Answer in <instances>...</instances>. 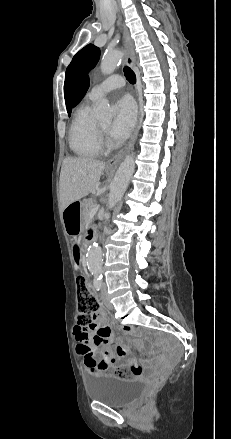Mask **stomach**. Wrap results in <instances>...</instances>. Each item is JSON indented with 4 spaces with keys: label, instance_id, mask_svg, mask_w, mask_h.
<instances>
[{
    "label": "stomach",
    "instance_id": "0dacf381",
    "mask_svg": "<svg viewBox=\"0 0 231 439\" xmlns=\"http://www.w3.org/2000/svg\"><path fill=\"white\" fill-rule=\"evenodd\" d=\"M68 207L64 209L63 213H65V211L68 209ZM63 223H64V229L66 230V232L69 235H76V234H78L79 230L82 227V223L79 221L78 218H75V217L74 218H69L67 214H65L64 217H63Z\"/></svg>",
    "mask_w": 231,
    "mask_h": 439
}]
</instances>
